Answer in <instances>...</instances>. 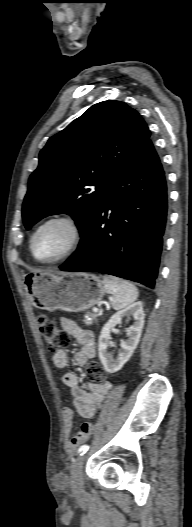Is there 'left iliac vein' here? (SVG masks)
<instances>
[{"instance_id":"1","label":"left iliac vein","mask_w":192,"mask_h":527,"mask_svg":"<svg viewBox=\"0 0 192 527\" xmlns=\"http://www.w3.org/2000/svg\"><path fill=\"white\" fill-rule=\"evenodd\" d=\"M85 457L83 455L78 456L72 463L70 474H71V486L74 492H80L83 488V463Z\"/></svg>"}]
</instances>
